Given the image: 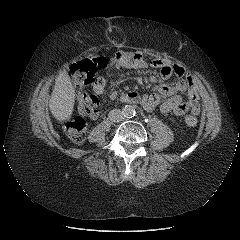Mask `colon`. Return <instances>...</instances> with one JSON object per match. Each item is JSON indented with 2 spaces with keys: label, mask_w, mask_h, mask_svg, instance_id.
I'll list each match as a JSON object with an SVG mask.
<instances>
[{
  "label": "colon",
  "mask_w": 240,
  "mask_h": 240,
  "mask_svg": "<svg viewBox=\"0 0 240 240\" xmlns=\"http://www.w3.org/2000/svg\"><path fill=\"white\" fill-rule=\"evenodd\" d=\"M108 60L104 57L95 56L83 59L70 67V74L75 87L78 89L77 99L79 111L84 115H91L97 110V99L86 91V88L94 82V76L98 66L107 65ZM188 126L197 124V118L188 115L185 118ZM87 124L83 117L69 120L65 125L67 136L75 143H82L85 139Z\"/></svg>",
  "instance_id": "colon-1"
}]
</instances>
